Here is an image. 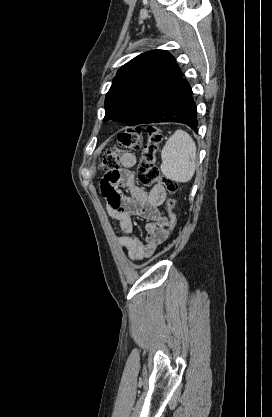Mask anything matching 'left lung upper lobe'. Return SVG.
Returning <instances> with one entry per match:
<instances>
[{"label": "left lung upper lobe", "mask_w": 272, "mask_h": 417, "mask_svg": "<svg viewBox=\"0 0 272 417\" xmlns=\"http://www.w3.org/2000/svg\"><path fill=\"white\" fill-rule=\"evenodd\" d=\"M181 69L167 51L151 50L117 71L105 99L104 121L141 124L181 78Z\"/></svg>", "instance_id": "5c2ea615"}]
</instances>
